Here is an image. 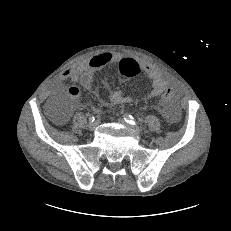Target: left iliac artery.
Returning <instances> with one entry per match:
<instances>
[{"label":"left iliac artery","instance_id":"left-iliac-artery-1","mask_svg":"<svg viewBox=\"0 0 231 231\" xmlns=\"http://www.w3.org/2000/svg\"><path fill=\"white\" fill-rule=\"evenodd\" d=\"M124 119L127 123H129L131 125H137L138 124V122H136L135 119L133 118V116L130 114H124Z\"/></svg>","mask_w":231,"mask_h":231}]
</instances>
